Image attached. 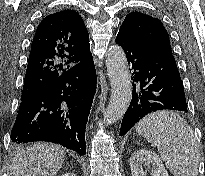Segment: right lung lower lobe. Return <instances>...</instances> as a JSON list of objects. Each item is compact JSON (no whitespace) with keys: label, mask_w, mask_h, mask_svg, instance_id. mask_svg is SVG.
Here are the masks:
<instances>
[{"label":"right lung lower lobe","mask_w":205,"mask_h":176,"mask_svg":"<svg viewBox=\"0 0 205 176\" xmlns=\"http://www.w3.org/2000/svg\"><path fill=\"white\" fill-rule=\"evenodd\" d=\"M96 79L90 56L21 99L11 141L14 144L53 142L84 155L85 128Z\"/></svg>","instance_id":"right-lung-lower-lobe-1"}]
</instances>
